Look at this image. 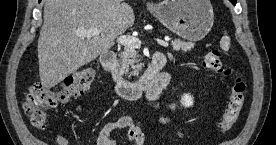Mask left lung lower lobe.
<instances>
[{
    "label": "left lung lower lobe",
    "mask_w": 276,
    "mask_h": 145,
    "mask_svg": "<svg viewBox=\"0 0 276 145\" xmlns=\"http://www.w3.org/2000/svg\"><path fill=\"white\" fill-rule=\"evenodd\" d=\"M230 2L235 5L236 4V0H230Z\"/></svg>",
    "instance_id": "1"
}]
</instances>
